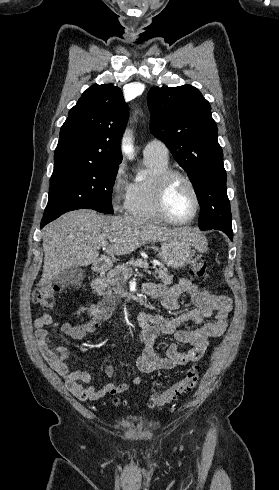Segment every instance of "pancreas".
I'll list each match as a JSON object with an SVG mask.
<instances>
[{"label": "pancreas", "instance_id": "1", "mask_svg": "<svg viewBox=\"0 0 279 490\" xmlns=\"http://www.w3.org/2000/svg\"><path fill=\"white\" fill-rule=\"evenodd\" d=\"M135 260H129L126 264H120V266H116L114 270H110L109 274H107L106 278H97L99 282H94L96 286H93L94 292L98 294V296H112V290H114L113 286H116V282L120 280V278H125L128 280L130 276H133L135 272H133ZM156 280H161L162 284H172L173 276H170L167 268L164 266H160V268H155V272H151Z\"/></svg>", "mask_w": 279, "mask_h": 490}]
</instances>
